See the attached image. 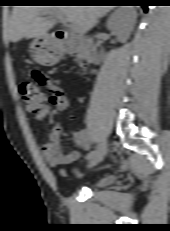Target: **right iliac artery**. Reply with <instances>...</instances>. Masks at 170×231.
<instances>
[{"label":"right iliac artery","mask_w":170,"mask_h":231,"mask_svg":"<svg viewBox=\"0 0 170 231\" xmlns=\"http://www.w3.org/2000/svg\"><path fill=\"white\" fill-rule=\"evenodd\" d=\"M95 153H96V150L91 151L89 154H87L86 159L90 160L95 155Z\"/></svg>","instance_id":"1"}]
</instances>
